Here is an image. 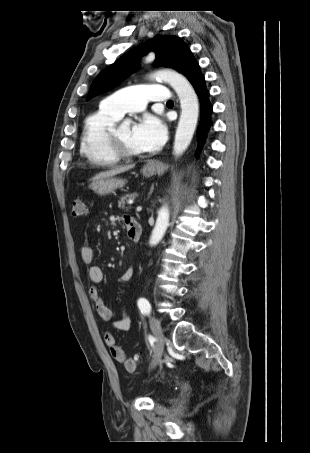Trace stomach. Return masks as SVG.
<instances>
[{
    "label": "stomach",
    "mask_w": 310,
    "mask_h": 453,
    "mask_svg": "<svg viewBox=\"0 0 310 453\" xmlns=\"http://www.w3.org/2000/svg\"><path fill=\"white\" fill-rule=\"evenodd\" d=\"M157 172L156 168L150 167L149 165H145L142 169V174L145 177H150L153 176ZM125 185V181L119 178H114V177H107L103 179H99L96 181H93V183L90 185L91 189L100 195H106L117 188L123 187Z\"/></svg>",
    "instance_id": "1"
}]
</instances>
